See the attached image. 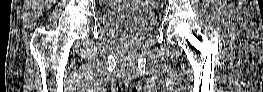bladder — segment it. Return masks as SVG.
<instances>
[{
    "label": "bladder",
    "instance_id": "bladder-1",
    "mask_svg": "<svg viewBox=\"0 0 263 92\" xmlns=\"http://www.w3.org/2000/svg\"><path fill=\"white\" fill-rule=\"evenodd\" d=\"M103 25L121 37L139 36L150 31L155 17L148 8H115L102 15Z\"/></svg>",
    "mask_w": 263,
    "mask_h": 92
}]
</instances>
